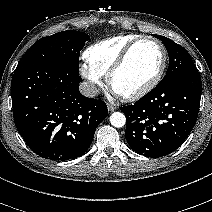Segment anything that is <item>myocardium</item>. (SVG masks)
<instances>
[{
  "instance_id": "obj_1",
  "label": "myocardium",
  "mask_w": 212,
  "mask_h": 212,
  "mask_svg": "<svg viewBox=\"0 0 212 212\" xmlns=\"http://www.w3.org/2000/svg\"><path fill=\"white\" fill-rule=\"evenodd\" d=\"M144 42L154 43L155 45H157L160 48L161 53H162V60H161V65L159 67V70L157 71L155 76L143 87H141L138 90H136L132 93H129V94H119L118 92L115 91V89L113 87L114 77L124 67V65L126 64L128 58L130 57V55H131L132 51L135 49V47ZM167 62H168L167 49L161 41H159L156 38H152V37H139V38L133 40L123 50V52L120 54V56L118 57L116 62L112 65V67L110 68V70L107 73V78H106L107 84L113 92H115L117 95H119L123 99L130 100V101L140 99L143 96L147 95L149 92H151L160 83V81L165 73V70L167 67Z\"/></svg>"
}]
</instances>
